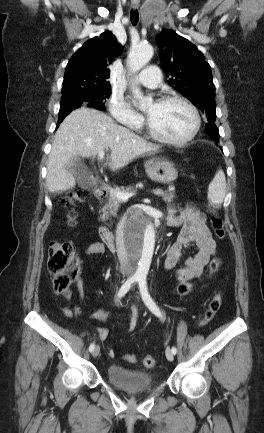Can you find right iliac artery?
Wrapping results in <instances>:
<instances>
[{
    "label": "right iliac artery",
    "mask_w": 264,
    "mask_h": 433,
    "mask_svg": "<svg viewBox=\"0 0 264 433\" xmlns=\"http://www.w3.org/2000/svg\"><path fill=\"white\" fill-rule=\"evenodd\" d=\"M139 280V278L138 277H131V278H129L122 286H121V288H120V290H119V292H118V294H117V297L118 298H121V297H123L128 291H129V289L131 288V286L134 284V283H136L137 281ZM94 348H95V344L94 343H92V344H90V346H89V351L90 352H92L93 350H94Z\"/></svg>",
    "instance_id": "82829eb1"
}]
</instances>
